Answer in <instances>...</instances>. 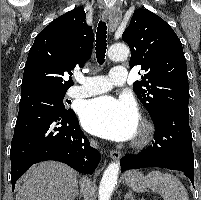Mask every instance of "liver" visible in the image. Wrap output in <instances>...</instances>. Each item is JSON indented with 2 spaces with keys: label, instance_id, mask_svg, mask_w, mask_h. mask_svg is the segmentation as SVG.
<instances>
[{
  "label": "liver",
  "instance_id": "1",
  "mask_svg": "<svg viewBox=\"0 0 201 200\" xmlns=\"http://www.w3.org/2000/svg\"><path fill=\"white\" fill-rule=\"evenodd\" d=\"M76 185V173L69 166L41 162L29 170L15 200H71Z\"/></svg>",
  "mask_w": 201,
  "mask_h": 200
}]
</instances>
